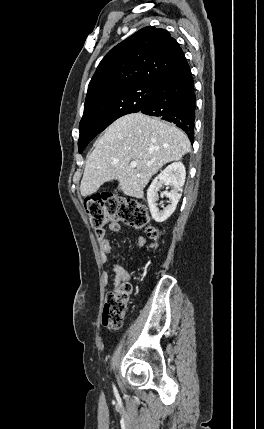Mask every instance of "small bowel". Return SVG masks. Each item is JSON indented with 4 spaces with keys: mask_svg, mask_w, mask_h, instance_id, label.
<instances>
[{
    "mask_svg": "<svg viewBox=\"0 0 264 429\" xmlns=\"http://www.w3.org/2000/svg\"><path fill=\"white\" fill-rule=\"evenodd\" d=\"M109 229L112 232H118L121 229V225L117 221H111L109 223ZM96 237H97V241H98V244L100 247L101 259L103 262H106L112 254L111 243L107 239L104 230L100 233L96 232ZM136 245L138 247H144L146 245L145 238L142 236H139L136 240ZM130 277H131L130 274H128V273H126L120 269H116L113 280H114L115 285H118L121 281L129 280Z\"/></svg>",
    "mask_w": 264,
    "mask_h": 429,
    "instance_id": "c3829d8e",
    "label": "small bowel"
}]
</instances>
